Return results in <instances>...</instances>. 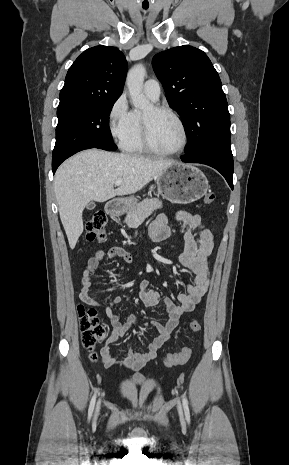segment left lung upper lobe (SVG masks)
Segmentation results:
<instances>
[{"instance_id": "5c2ea615", "label": "left lung upper lobe", "mask_w": 289, "mask_h": 465, "mask_svg": "<svg viewBox=\"0 0 289 465\" xmlns=\"http://www.w3.org/2000/svg\"><path fill=\"white\" fill-rule=\"evenodd\" d=\"M152 65L169 105L184 121L185 154L214 151L232 156L228 104L207 55L183 45L156 54Z\"/></svg>"}]
</instances>
